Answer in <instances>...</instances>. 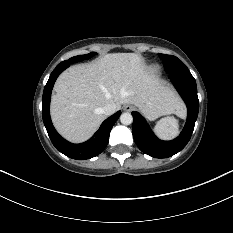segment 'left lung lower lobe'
Here are the masks:
<instances>
[{
    "label": "left lung lower lobe",
    "mask_w": 233,
    "mask_h": 233,
    "mask_svg": "<svg viewBox=\"0 0 233 233\" xmlns=\"http://www.w3.org/2000/svg\"><path fill=\"white\" fill-rule=\"evenodd\" d=\"M169 78L188 109L185 127L176 139L172 141L159 140L151 131L145 119L138 112H132L134 141L142 152L155 158L171 157L181 151L191 138L198 116L197 86L191 73H172L169 74Z\"/></svg>",
    "instance_id": "obj_1"
}]
</instances>
